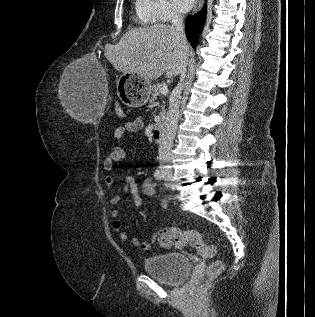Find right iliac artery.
<instances>
[{
    "label": "right iliac artery",
    "instance_id": "82829eb1",
    "mask_svg": "<svg viewBox=\"0 0 315 317\" xmlns=\"http://www.w3.org/2000/svg\"><path fill=\"white\" fill-rule=\"evenodd\" d=\"M154 177H155V179L156 180H158V181H161L162 180V174H161V172H160V170H156L155 172H154Z\"/></svg>",
    "mask_w": 315,
    "mask_h": 317
}]
</instances>
